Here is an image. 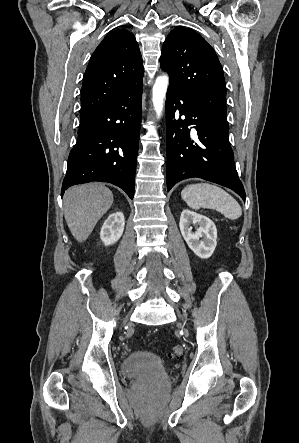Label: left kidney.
Masks as SVG:
<instances>
[{
	"instance_id": "1",
	"label": "left kidney",
	"mask_w": 299,
	"mask_h": 443,
	"mask_svg": "<svg viewBox=\"0 0 299 443\" xmlns=\"http://www.w3.org/2000/svg\"><path fill=\"white\" fill-rule=\"evenodd\" d=\"M191 224L199 225L195 233ZM179 227L187 245L198 257L207 259L213 254L217 245V229L209 218L185 209L181 213Z\"/></svg>"
}]
</instances>
